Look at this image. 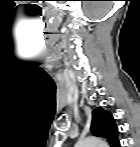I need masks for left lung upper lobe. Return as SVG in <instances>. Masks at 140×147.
<instances>
[{"label": "left lung upper lobe", "instance_id": "1", "mask_svg": "<svg viewBox=\"0 0 140 147\" xmlns=\"http://www.w3.org/2000/svg\"><path fill=\"white\" fill-rule=\"evenodd\" d=\"M91 131L96 136L105 137L112 147H120L115 119L112 114L101 107L92 112Z\"/></svg>", "mask_w": 140, "mask_h": 147}]
</instances>
